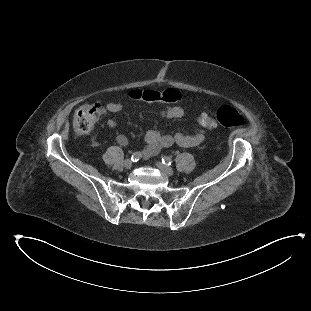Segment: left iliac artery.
<instances>
[{"label": "left iliac artery", "mask_w": 311, "mask_h": 311, "mask_svg": "<svg viewBox=\"0 0 311 311\" xmlns=\"http://www.w3.org/2000/svg\"><path fill=\"white\" fill-rule=\"evenodd\" d=\"M162 163L165 165H172L173 161L170 157L164 156L162 157Z\"/></svg>", "instance_id": "44dca946"}]
</instances>
